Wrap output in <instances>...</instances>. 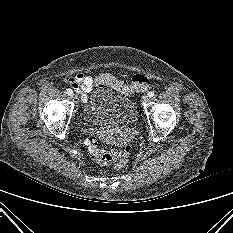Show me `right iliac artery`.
<instances>
[{
    "mask_svg": "<svg viewBox=\"0 0 233 233\" xmlns=\"http://www.w3.org/2000/svg\"><path fill=\"white\" fill-rule=\"evenodd\" d=\"M66 92L68 93V95H72V94H73V91H72L70 88H68V89L66 90Z\"/></svg>",
    "mask_w": 233,
    "mask_h": 233,
    "instance_id": "82829eb1",
    "label": "right iliac artery"
}]
</instances>
